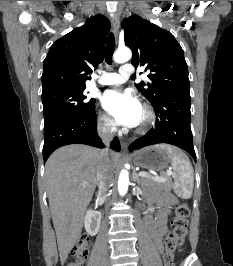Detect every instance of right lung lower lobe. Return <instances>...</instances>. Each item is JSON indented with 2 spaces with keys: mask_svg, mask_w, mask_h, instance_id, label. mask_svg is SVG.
Listing matches in <instances>:
<instances>
[{
  "mask_svg": "<svg viewBox=\"0 0 233 266\" xmlns=\"http://www.w3.org/2000/svg\"><path fill=\"white\" fill-rule=\"evenodd\" d=\"M75 143L104 147L97 135L95 108L86 114L61 118L44 126V162L57 148ZM111 148L117 152L120 151L117 138L111 142Z\"/></svg>",
  "mask_w": 233,
  "mask_h": 266,
  "instance_id": "obj_1",
  "label": "right lung lower lobe"
}]
</instances>
